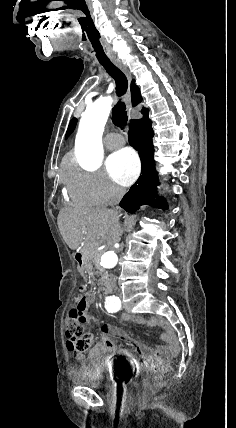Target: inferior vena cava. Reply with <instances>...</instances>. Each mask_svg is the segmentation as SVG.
<instances>
[{
	"label": "inferior vena cava",
	"instance_id": "inferior-vena-cava-1",
	"mask_svg": "<svg viewBox=\"0 0 236 428\" xmlns=\"http://www.w3.org/2000/svg\"><path fill=\"white\" fill-rule=\"evenodd\" d=\"M109 192H111L113 196L112 202H115V204H117V200L119 202L120 198H122L124 194V190H122V188H118V186H114V184H110ZM117 210H119V206H117ZM112 212L115 214L117 220H121V217H118V212H116V210H112Z\"/></svg>",
	"mask_w": 236,
	"mask_h": 428
}]
</instances>
